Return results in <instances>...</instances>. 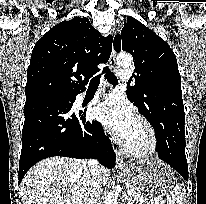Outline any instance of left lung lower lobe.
I'll return each instance as SVG.
<instances>
[{
	"instance_id": "0a47b994",
	"label": "left lung lower lobe",
	"mask_w": 206,
	"mask_h": 204,
	"mask_svg": "<svg viewBox=\"0 0 206 204\" xmlns=\"http://www.w3.org/2000/svg\"><path fill=\"white\" fill-rule=\"evenodd\" d=\"M185 114L180 112L173 119H166L163 132L156 134V150L161 160L188 179V165L185 155Z\"/></svg>"
}]
</instances>
